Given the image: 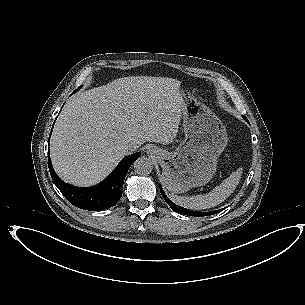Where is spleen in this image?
I'll list each match as a JSON object with an SVG mask.
<instances>
[{
    "instance_id": "obj_1",
    "label": "spleen",
    "mask_w": 305,
    "mask_h": 305,
    "mask_svg": "<svg viewBox=\"0 0 305 305\" xmlns=\"http://www.w3.org/2000/svg\"><path fill=\"white\" fill-rule=\"evenodd\" d=\"M238 172H233L230 177L223 180V182L216 186L211 192L207 194H200L194 196H178L176 194H169L170 199L177 205L191 209L204 210L219 205L226 200L233 191V186L238 180Z\"/></svg>"
}]
</instances>
